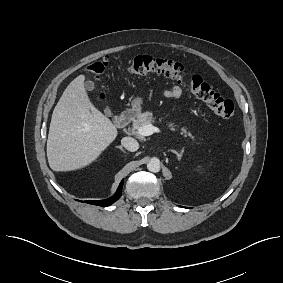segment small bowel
<instances>
[{
  "label": "small bowel",
  "instance_id": "small-bowel-1",
  "mask_svg": "<svg viewBox=\"0 0 283 283\" xmlns=\"http://www.w3.org/2000/svg\"><path fill=\"white\" fill-rule=\"evenodd\" d=\"M184 91L181 87L179 86H174L170 89L164 90L162 92V95L165 98H179L183 95Z\"/></svg>",
  "mask_w": 283,
  "mask_h": 283
}]
</instances>
